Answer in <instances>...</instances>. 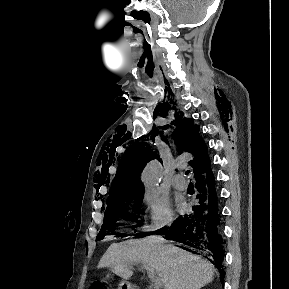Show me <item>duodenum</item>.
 I'll use <instances>...</instances> for the list:
<instances>
[{
  "label": "duodenum",
  "mask_w": 289,
  "mask_h": 289,
  "mask_svg": "<svg viewBox=\"0 0 289 289\" xmlns=\"http://www.w3.org/2000/svg\"><path fill=\"white\" fill-rule=\"evenodd\" d=\"M128 289H139V288H137L135 286H129Z\"/></svg>",
  "instance_id": "duodenum-1"
}]
</instances>
